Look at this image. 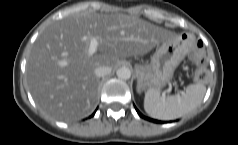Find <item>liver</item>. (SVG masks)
<instances>
[{"label":"liver","mask_w":238,"mask_h":145,"mask_svg":"<svg viewBox=\"0 0 238 145\" xmlns=\"http://www.w3.org/2000/svg\"><path fill=\"white\" fill-rule=\"evenodd\" d=\"M169 33L125 14L73 13L52 22L34 42L26 66L37 106L60 121L89 115L97 104L99 66L116 67L123 58L147 54ZM98 47L88 54L90 38Z\"/></svg>","instance_id":"obj_1"}]
</instances>
